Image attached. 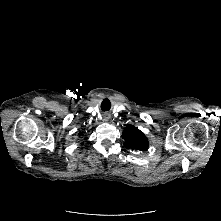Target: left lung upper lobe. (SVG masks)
<instances>
[{"mask_svg":"<svg viewBox=\"0 0 221 221\" xmlns=\"http://www.w3.org/2000/svg\"><path fill=\"white\" fill-rule=\"evenodd\" d=\"M124 145L132 150H145L148 148V139L138 128L133 125L128 126L122 134Z\"/></svg>","mask_w":221,"mask_h":221,"instance_id":"obj_1","label":"left lung upper lobe"}]
</instances>
